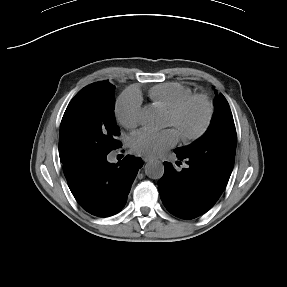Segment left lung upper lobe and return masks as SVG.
I'll return each instance as SVG.
<instances>
[{"instance_id": "5c2ea615", "label": "left lung upper lobe", "mask_w": 287, "mask_h": 287, "mask_svg": "<svg viewBox=\"0 0 287 287\" xmlns=\"http://www.w3.org/2000/svg\"><path fill=\"white\" fill-rule=\"evenodd\" d=\"M215 111L206 133L192 144L176 148L210 168L218 179L227 183L231 175L237 135L229 104L223 95L214 100Z\"/></svg>"}]
</instances>
